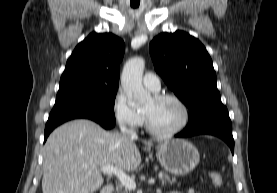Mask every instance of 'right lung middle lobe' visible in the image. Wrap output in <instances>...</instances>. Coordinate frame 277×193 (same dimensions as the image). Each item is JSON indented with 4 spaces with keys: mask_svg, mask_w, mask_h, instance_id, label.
I'll return each instance as SVG.
<instances>
[{
    "mask_svg": "<svg viewBox=\"0 0 277 193\" xmlns=\"http://www.w3.org/2000/svg\"><path fill=\"white\" fill-rule=\"evenodd\" d=\"M117 88L82 86L58 91L54 107L93 111L115 121L114 102Z\"/></svg>",
    "mask_w": 277,
    "mask_h": 193,
    "instance_id": "obj_1",
    "label": "right lung middle lobe"
}]
</instances>
